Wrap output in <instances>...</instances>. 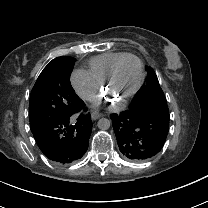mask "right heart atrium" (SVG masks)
<instances>
[{
    "instance_id": "d8ad5b80",
    "label": "right heart atrium",
    "mask_w": 208,
    "mask_h": 208,
    "mask_svg": "<svg viewBox=\"0 0 208 208\" xmlns=\"http://www.w3.org/2000/svg\"><path fill=\"white\" fill-rule=\"evenodd\" d=\"M70 82L76 93L84 101L97 102L99 100L100 84L89 73L72 71Z\"/></svg>"
}]
</instances>
